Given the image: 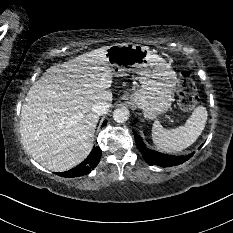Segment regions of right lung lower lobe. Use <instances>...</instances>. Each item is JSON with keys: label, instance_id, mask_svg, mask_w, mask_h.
<instances>
[{"label": "right lung lower lobe", "instance_id": "obj_1", "mask_svg": "<svg viewBox=\"0 0 233 233\" xmlns=\"http://www.w3.org/2000/svg\"><path fill=\"white\" fill-rule=\"evenodd\" d=\"M106 124V121H104L103 125ZM101 158V149L99 146H94L91 153L88 155V157L77 167L63 172V173H56L59 176L62 177H79L85 174H88L92 169H94L97 164L99 163Z\"/></svg>", "mask_w": 233, "mask_h": 233}]
</instances>
